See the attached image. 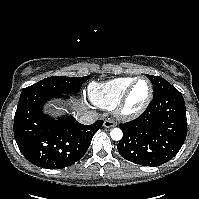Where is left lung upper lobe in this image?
<instances>
[{
	"label": "left lung upper lobe",
	"instance_id": "left-lung-upper-lobe-1",
	"mask_svg": "<svg viewBox=\"0 0 199 199\" xmlns=\"http://www.w3.org/2000/svg\"><path fill=\"white\" fill-rule=\"evenodd\" d=\"M147 77L153 84L154 88L153 98L178 91L168 81L159 76L147 75Z\"/></svg>",
	"mask_w": 199,
	"mask_h": 199
}]
</instances>
